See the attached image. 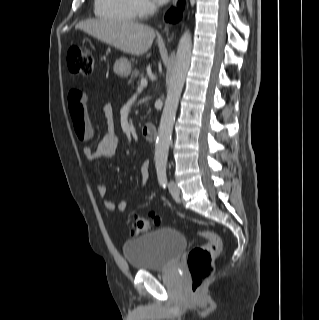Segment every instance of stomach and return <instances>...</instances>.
I'll return each instance as SVG.
<instances>
[{
  "mask_svg": "<svg viewBox=\"0 0 319 320\" xmlns=\"http://www.w3.org/2000/svg\"><path fill=\"white\" fill-rule=\"evenodd\" d=\"M113 71L118 77L127 78L131 73V62L126 58H120L114 63Z\"/></svg>",
  "mask_w": 319,
  "mask_h": 320,
  "instance_id": "stomach-1",
  "label": "stomach"
}]
</instances>
